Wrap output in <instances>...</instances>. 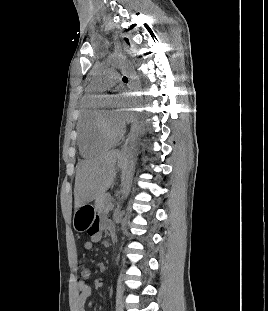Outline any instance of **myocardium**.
<instances>
[{"label": "myocardium", "instance_id": "f54148a6", "mask_svg": "<svg viewBox=\"0 0 268 311\" xmlns=\"http://www.w3.org/2000/svg\"><path fill=\"white\" fill-rule=\"evenodd\" d=\"M99 127L101 134L105 138L112 141H117L122 138L125 132L123 125H119V127L113 128L101 111H99Z\"/></svg>", "mask_w": 268, "mask_h": 311}]
</instances>
